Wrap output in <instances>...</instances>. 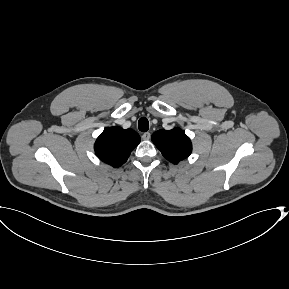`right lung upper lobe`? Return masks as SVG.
I'll return each mask as SVG.
<instances>
[{"label": "right lung upper lobe", "instance_id": "obj_1", "mask_svg": "<svg viewBox=\"0 0 289 289\" xmlns=\"http://www.w3.org/2000/svg\"><path fill=\"white\" fill-rule=\"evenodd\" d=\"M140 140L138 133L132 129L107 127L97 138L94 149L100 160L117 168L127 161Z\"/></svg>", "mask_w": 289, "mask_h": 289}]
</instances>
